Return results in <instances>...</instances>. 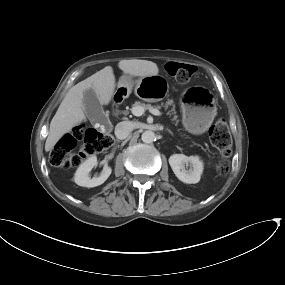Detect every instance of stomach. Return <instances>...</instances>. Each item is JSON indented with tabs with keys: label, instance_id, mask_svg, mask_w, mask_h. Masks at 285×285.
<instances>
[{
	"label": "stomach",
	"instance_id": "obj_1",
	"mask_svg": "<svg viewBox=\"0 0 285 285\" xmlns=\"http://www.w3.org/2000/svg\"><path fill=\"white\" fill-rule=\"evenodd\" d=\"M164 78L160 75L147 76L134 82L129 75H123L119 79L118 87L125 88L131 92L136 84V94L145 101H155L153 97L145 92L147 85L162 84ZM182 123L184 128L192 134L204 133L216 115L215 100L211 93L205 88L193 87L187 89L181 97Z\"/></svg>",
	"mask_w": 285,
	"mask_h": 285
}]
</instances>
